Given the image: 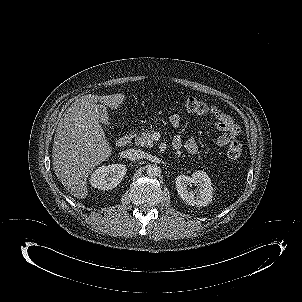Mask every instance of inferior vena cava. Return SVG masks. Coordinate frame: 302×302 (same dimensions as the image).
<instances>
[{
    "instance_id": "obj_1",
    "label": "inferior vena cava",
    "mask_w": 302,
    "mask_h": 302,
    "mask_svg": "<svg viewBox=\"0 0 302 302\" xmlns=\"http://www.w3.org/2000/svg\"><path fill=\"white\" fill-rule=\"evenodd\" d=\"M124 154L126 158L132 161L143 159L145 156L144 151H142L141 149H132V148L124 151Z\"/></svg>"
}]
</instances>
